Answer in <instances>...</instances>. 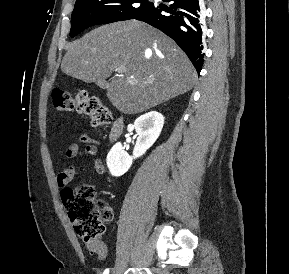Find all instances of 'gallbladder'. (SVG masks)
<instances>
[{
  "instance_id": "obj_1",
  "label": "gallbladder",
  "mask_w": 289,
  "mask_h": 274,
  "mask_svg": "<svg viewBox=\"0 0 289 274\" xmlns=\"http://www.w3.org/2000/svg\"><path fill=\"white\" fill-rule=\"evenodd\" d=\"M96 84L102 89H107V87H108V83L106 81H102V82H99Z\"/></svg>"
}]
</instances>
